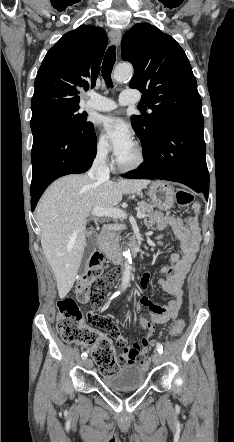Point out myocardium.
<instances>
[{
  "label": "myocardium",
  "mask_w": 234,
  "mask_h": 442,
  "mask_svg": "<svg viewBox=\"0 0 234 442\" xmlns=\"http://www.w3.org/2000/svg\"><path fill=\"white\" fill-rule=\"evenodd\" d=\"M136 159L130 164L122 163L118 158L116 159V166L124 172H131L139 169L145 162V151L140 143H135Z\"/></svg>",
  "instance_id": "obj_1"
}]
</instances>
